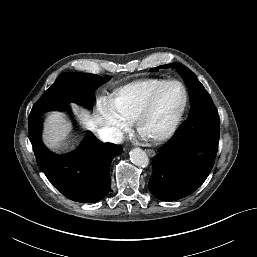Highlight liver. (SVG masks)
Here are the masks:
<instances>
[{
    "label": "liver",
    "instance_id": "obj_1",
    "mask_svg": "<svg viewBox=\"0 0 257 257\" xmlns=\"http://www.w3.org/2000/svg\"><path fill=\"white\" fill-rule=\"evenodd\" d=\"M69 131V123L58 114H51L46 118L44 139L48 145L55 146L66 137Z\"/></svg>",
    "mask_w": 257,
    "mask_h": 257
}]
</instances>
